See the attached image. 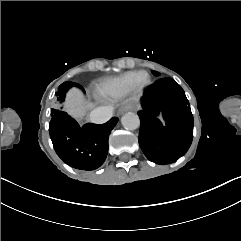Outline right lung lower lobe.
Listing matches in <instances>:
<instances>
[{
	"mask_svg": "<svg viewBox=\"0 0 241 241\" xmlns=\"http://www.w3.org/2000/svg\"><path fill=\"white\" fill-rule=\"evenodd\" d=\"M73 83V82H72ZM73 86L83 88L73 83ZM117 117L104 124L88 123L80 127L66 112L52 114L49 134L57 155L69 166L81 170L100 167L108 153V138Z\"/></svg>",
	"mask_w": 241,
	"mask_h": 241,
	"instance_id": "right-lung-lower-lobe-1",
	"label": "right lung lower lobe"
}]
</instances>
